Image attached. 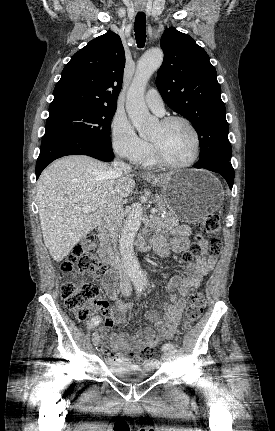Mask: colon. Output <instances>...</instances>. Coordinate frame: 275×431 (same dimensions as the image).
Wrapping results in <instances>:
<instances>
[{
    "instance_id": "obj_1",
    "label": "colon",
    "mask_w": 275,
    "mask_h": 431,
    "mask_svg": "<svg viewBox=\"0 0 275 431\" xmlns=\"http://www.w3.org/2000/svg\"><path fill=\"white\" fill-rule=\"evenodd\" d=\"M202 232L216 235L221 231L220 218L217 214H209L199 222ZM96 241L92 234L82 238L73 249L69 257L60 266L62 275L75 272L76 275L88 274L93 278H99L105 274L104 263L95 253ZM222 249L219 239L213 238L210 241L209 249L203 250L198 243L192 244L188 251L182 255V260L192 263L198 259L207 258L209 255L217 256ZM98 287L91 282H75L66 280L61 283L60 293L65 306L71 311L73 316L79 321L87 320L97 309H103L105 302L98 300ZM205 305V299L201 292L192 293L189 296L188 306L185 313V328L190 329L199 319ZM139 362L147 370L155 369L159 362L153 356V349L146 348L139 356Z\"/></svg>"
}]
</instances>
